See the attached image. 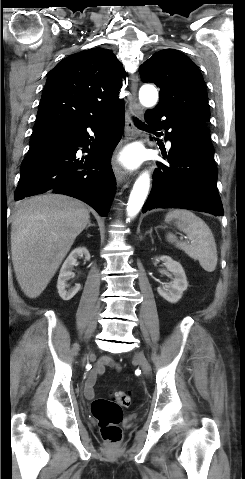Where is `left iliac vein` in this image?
<instances>
[{
    "mask_svg": "<svg viewBox=\"0 0 245 479\" xmlns=\"http://www.w3.org/2000/svg\"><path fill=\"white\" fill-rule=\"evenodd\" d=\"M135 360L138 362V364L141 366L143 372L145 374H149L150 373V365L145 357V355L138 351L135 353V356H134Z\"/></svg>",
    "mask_w": 245,
    "mask_h": 479,
    "instance_id": "obj_1",
    "label": "left iliac vein"
}]
</instances>
